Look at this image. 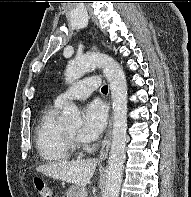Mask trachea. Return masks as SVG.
<instances>
[{
    "instance_id": "3493384b",
    "label": "trachea",
    "mask_w": 191,
    "mask_h": 197,
    "mask_svg": "<svg viewBox=\"0 0 191 197\" xmlns=\"http://www.w3.org/2000/svg\"><path fill=\"white\" fill-rule=\"evenodd\" d=\"M101 91H102V92H107V91H108V86H103V87L101 88Z\"/></svg>"
}]
</instances>
